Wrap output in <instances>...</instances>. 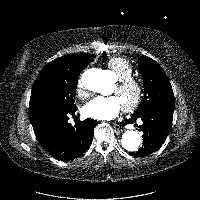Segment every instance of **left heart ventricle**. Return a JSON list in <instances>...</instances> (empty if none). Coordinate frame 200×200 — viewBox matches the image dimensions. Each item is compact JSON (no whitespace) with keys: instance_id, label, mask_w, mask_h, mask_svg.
Masks as SVG:
<instances>
[{"instance_id":"1","label":"left heart ventricle","mask_w":200,"mask_h":200,"mask_svg":"<svg viewBox=\"0 0 200 200\" xmlns=\"http://www.w3.org/2000/svg\"><path fill=\"white\" fill-rule=\"evenodd\" d=\"M112 93L119 98L122 105L131 101L134 97V91L132 89H129V90L123 91V92H119L117 90L116 86L114 87Z\"/></svg>"}]
</instances>
